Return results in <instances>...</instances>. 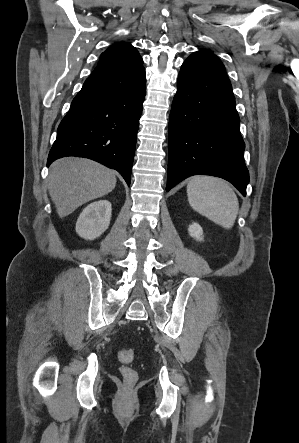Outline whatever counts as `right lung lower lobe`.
I'll return each instance as SVG.
<instances>
[{"instance_id":"right-lung-lower-lobe-1","label":"right lung lower lobe","mask_w":299,"mask_h":443,"mask_svg":"<svg viewBox=\"0 0 299 443\" xmlns=\"http://www.w3.org/2000/svg\"><path fill=\"white\" fill-rule=\"evenodd\" d=\"M145 88L144 69L87 78L58 127L47 166L86 157L120 172L129 186Z\"/></svg>"}]
</instances>
